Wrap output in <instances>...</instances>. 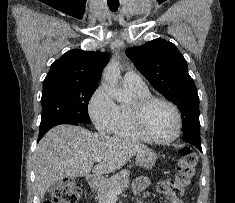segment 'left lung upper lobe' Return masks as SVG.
I'll return each mask as SVG.
<instances>
[{"instance_id": "left-lung-upper-lobe-1", "label": "left lung upper lobe", "mask_w": 235, "mask_h": 203, "mask_svg": "<svg viewBox=\"0 0 235 203\" xmlns=\"http://www.w3.org/2000/svg\"><path fill=\"white\" fill-rule=\"evenodd\" d=\"M127 56L151 85L177 105L182 114L183 136L200 141L199 97L187 62L176 46L155 39L142 46L128 48Z\"/></svg>"}]
</instances>
